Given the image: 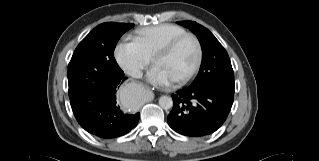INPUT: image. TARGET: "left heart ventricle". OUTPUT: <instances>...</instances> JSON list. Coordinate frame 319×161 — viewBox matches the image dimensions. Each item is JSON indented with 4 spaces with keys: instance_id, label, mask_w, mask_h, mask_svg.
<instances>
[{
    "instance_id": "1",
    "label": "left heart ventricle",
    "mask_w": 319,
    "mask_h": 161,
    "mask_svg": "<svg viewBox=\"0 0 319 161\" xmlns=\"http://www.w3.org/2000/svg\"><path fill=\"white\" fill-rule=\"evenodd\" d=\"M196 59V47L191 39L183 40L168 56L158 59L155 63L171 79V81L186 74Z\"/></svg>"
}]
</instances>
